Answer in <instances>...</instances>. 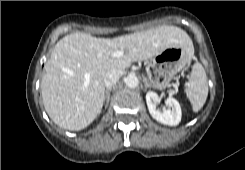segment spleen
Here are the masks:
<instances>
[{"label":"spleen","instance_id":"3e777b00","mask_svg":"<svg viewBox=\"0 0 245 170\" xmlns=\"http://www.w3.org/2000/svg\"><path fill=\"white\" fill-rule=\"evenodd\" d=\"M185 93L192 105L193 111L198 112L205 104L208 96L207 76L202 64L199 62L195 63L192 67Z\"/></svg>","mask_w":245,"mask_h":170}]
</instances>
